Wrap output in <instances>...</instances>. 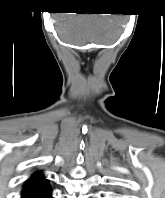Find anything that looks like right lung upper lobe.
Wrapping results in <instances>:
<instances>
[{
    "mask_svg": "<svg viewBox=\"0 0 165 198\" xmlns=\"http://www.w3.org/2000/svg\"><path fill=\"white\" fill-rule=\"evenodd\" d=\"M47 186H49L48 180L44 178L41 172H37L25 183L22 196L28 195Z\"/></svg>",
    "mask_w": 165,
    "mask_h": 198,
    "instance_id": "obj_1",
    "label": "right lung upper lobe"
}]
</instances>
